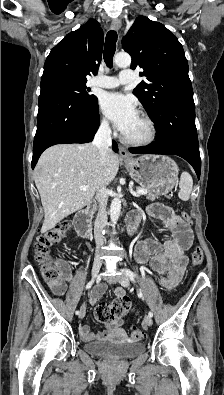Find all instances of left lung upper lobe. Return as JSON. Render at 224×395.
Wrapping results in <instances>:
<instances>
[{"mask_svg":"<svg viewBox=\"0 0 224 395\" xmlns=\"http://www.w3.org/2000/svg\"><path fill=\"white\" fill-rule=\"evenodd\" d=\"M132 57L131 68H143L146 77L133 91L151 119L164 106L178 101H193L188 62L182 45L161 23L138 16L122 40Z\"/></svg>","mask_w":224,"mask_h":395,"instance_id":"5c2ea615","label":"left lung upper lobe"}]
</instances>
